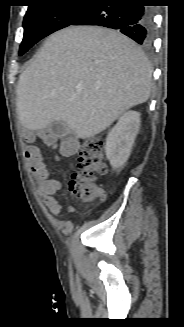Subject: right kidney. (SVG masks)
<instances>
[{
    "mask_svg": "<svg viewBox=\"0 0 184 327\" xmlns=\"http://www.w3.org/2000/svg\"><path fill=\"white\" fill-rule=\"evenodd\" d=\"M140 128V113L128 111L118 120L106 138L105 152L113 168L123 166L128 160Z\"/></svg>",
    "mask_w": 184,
    "mask_h": 327,
    "instance_id": "ca27d5eb",
    "label": "right kidney"
}]
</instances>
